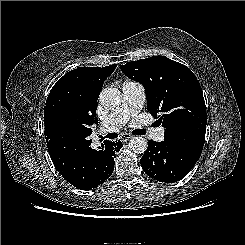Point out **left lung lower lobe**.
<instances>
[{"instance_id":"left-lung-lower-lobe-1","label":"left lung lower lobe","mask_w":245,"mask_h":245,"mask_svg":"<svg viewBox=\"0 0 245 245\" xmlns=\"http://www.w3.org/2000/svg\"><path fill=\"white\" fill-rule=\"evenodd\" d=\"M201 147L171 145L165 141L150 140L141 158V167L151 178L172 183L183 179L201 156Z\"/></svg>"}]
</instances>
